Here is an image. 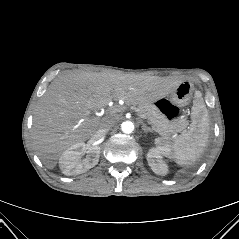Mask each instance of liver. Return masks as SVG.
Masks as SVG:
<instances>
[{
    "label": "liver",
    "instance_id": "liver-1",
    "mask_svg": "<svg viewBox=\"0 0 239 239\" xmlns=\"http://www.w3.org/2000/svg\"><path fill=\"white\" fill-rule=\"evenodd\" d=\"M180 81L157 76L71 71L59 75L39 101L33 118V144L42 163L53 169L63 152L91 138L112 113L91 117L89 111L111 101L147 104L164 97Z\"/></svg>",
    "mask_w": 239,
    "mask_h": 239
}]
</instances>
